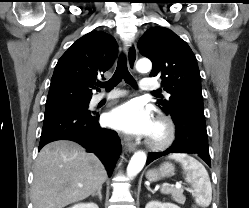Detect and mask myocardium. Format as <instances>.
<instances>
[{"instance_id":"1","label":"myocardium","mask_w":249,"mask_h":208,"mask_svg":"<svg viewBox=\"0 0 249 208\" xmlns=\"http://www.w3.org/2000/svg\"><path fill=\"white\" fill-rule=\"evenodd\" d=\"M157 133L152 134L149 146L155 149L168 147L175 138V127L167 117H159L155 124Z\"/></svg>"}]
</instances>
